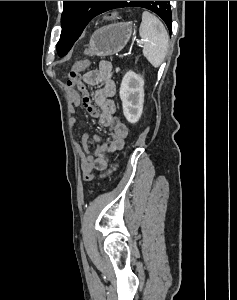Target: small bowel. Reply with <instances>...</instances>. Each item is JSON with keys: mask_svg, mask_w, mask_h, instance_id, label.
I'll list each match as a JSON object with an SVG mask.
<instances>
[{"mask_svg": "<svg viewBox=\"0 0 237 300\" xmlns=\"http://www.w3.org/2000/svg\"><path fill=\"white\" fill-rule=\"evenodd\" d=\"M114 65L108 60L101 61L98 67L83 76L77 86L70 87V98L75 106L82 105L86 112L97 118L100 124L107 127L111 134L107 141H102L98 136L82 134L79 156L83 173L92 170L105 171L108 168L112 155L122 150L128 134V127L115 116L116 104L112 97L116 92V84L112 79ZM101 84V85H99ZM98 86L91 97L86 86ZM77 87L81 96L73 89ZM75 124L73 118L70 122ZM95 143V151L92 154L89 150V142Z\"/></svg>", "mask_w": 237, "mask_h": 300, "instance_id": "obj_1", "label": "small bowel"}]
</instances>
